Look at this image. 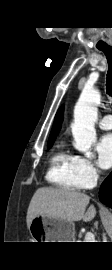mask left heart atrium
<instances>
[{
    "label": "left heart atrium",
    "instance_id": "obj_1",
    "mask_svg": "<svg viewBox=\"0 0 112 270\" xmlns=\"http://www.w3.org/2000/svg\"><path fill=\"white\" fill-rule=\"evenodd\" d=\"M98 162L100 167L108 169L112 166V134H106L97 143Z\"/></svg>",
    "mask_w": 112,
    "mask_h": 270
}]
</instances>
